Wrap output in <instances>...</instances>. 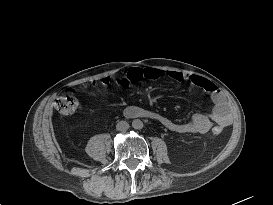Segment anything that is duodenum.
I'll use <instances>...</instances> for the list:
<instances>
[{"label": "duodenum", "instance_id": "410a0bca", "mask_svg": "<svg viewBox=\"0 0 273 205\" xmlns=\"http://www.w3.org/2000/svg\"><path fill=\"white\" fill-rule=\"evenodd\" d=\"M126 113L128 114L127 110H126ZM145 115L143 112H140L139 114H137L135 117H139V116H143Z\"/></svg>", "mask_w": 273, "mask_h": 205}]
</instances>
